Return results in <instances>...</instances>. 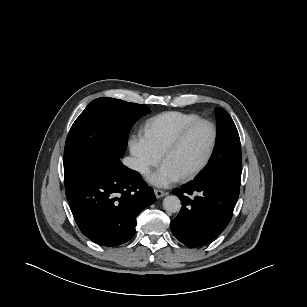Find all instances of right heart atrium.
I'll return each instance as SVG.
<instances>
[{
	"label": "right heart atrium",
	"instance_id": "d8ad5b80",
	"mask_svg": "<svg viewBox=\"0 0 307 307\" xmlns=\"http://www.w3.org/2000/svg\"><path fill=\"white\" fill-rule=\"evenodd\" d=\"M129 149L133 167L141 174L148 173L162 159V154L154 149L144 135L132 136L129 141Z\"/></svg>",
	"mask_w": 307,
	"mask_h": 307
}]
</instances>
